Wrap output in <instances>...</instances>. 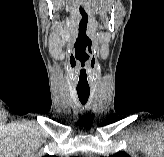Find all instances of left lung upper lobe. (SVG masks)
<instances>
[{"label":"left lung upper lobe","mask_w":164,"mask_h":157,"mask_svg":"<svg viewBox=\"0 0 164 157\" xmlns=\"http://www.w3.org/2000/svg\"><path fill=\"white\" fill-rule=\"evenodd\" d=\"M101 157H104V156H101ZM109 157H130L128 154H126L125 152H118L116 154H113Z\"/></svg>","instance_id":"left-lung-upper-lobe-1"}]
</instances>
